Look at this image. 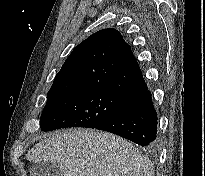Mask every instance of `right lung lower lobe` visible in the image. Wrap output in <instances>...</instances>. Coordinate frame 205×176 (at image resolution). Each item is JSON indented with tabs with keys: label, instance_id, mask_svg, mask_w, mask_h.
Instances as JSON below:
<instances>
[{
	"label": "right lung lower lobe",
	"instance_id": "98d812e1",
	"mask_svg": "<svg viewBox=\"0 0 205 176\" xmlns=\"http://www.w3.org/2000/svg\"><path fill=\"white\" fill-rule=\"evenodd\" d=\"M157 113L148 88L129 97L123 106L96 129L108 131L154 150L157 147Z\"/></svg>",
	"mask_w": 205,
	"mask_h": 176
}]
</instances>
